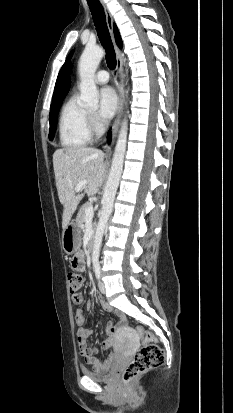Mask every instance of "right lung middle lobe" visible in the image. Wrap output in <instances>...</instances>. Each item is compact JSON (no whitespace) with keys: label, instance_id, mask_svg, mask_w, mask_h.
<instances>
[{"label":"right lung middle lobe","instance_id":"1","mask_svg":"<svg viewBox=\"0 0 233 413\" xmlns=\"http://www.w3.org/2000/svg\"><path fill=\"white\" fill-rule=\"evenodd\" d=\"M61 102H59L56 105H52L51 106V110H50V131H49V139L52 140L54 138V134H55V130H56V115L58 114V110L61 106Z\"/></svg>","mask_w":233,"mask_h":413}]
</instances>
